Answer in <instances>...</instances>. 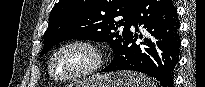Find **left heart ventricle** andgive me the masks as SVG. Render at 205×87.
Instances as JSON below:
<instances>
[{
  "label": "left heart ventricle",
  "instance_id": "b2bd125f",
  "mask_svg": "<svg viewBox=\"0 0 205 87\" xmlns=\"http://www.w3.org/2000/svg\"><path fill=\"white\" fill-rule=\"evenodd\" d=\"M92 61L90 53L80 47H70L58 54L53 64L57 77H64L86 68Z\"/></svg>",
  "mask_w": 205,
  "mask_h": 87
}]
</instances>
